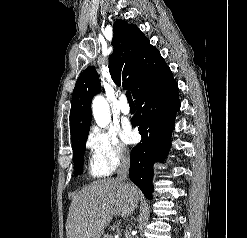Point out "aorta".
I'll list each match as a JSON object with an SVG mask.
<instances>
[{"instance_id": "aorta-1", "label": "aorta", "mask_w": 247, "mask_h": 238, "mask_svg": "<svg viewBox=\"0 0 247 238\" xmlns=\"http://www.w3.org/2000/svg\"><path fill=\"white\" fill-rule=\"evenodd\" d=\"M92 112L98 126L105 127L111 120L109 105L101 96H96L92 102Z\"/></svg>"}]
</instances>
